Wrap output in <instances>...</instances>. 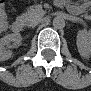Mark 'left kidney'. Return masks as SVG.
Here are the masks:
<instances>
[{
    "label": "left kidney",
    "instance_id": "left-kidney-1",
    "mask_svg": "<svg viewBox=\"0 0 91 91\" xmlns=\"http://www.w3.org/2000/svg\"><path fill=\"white\" fill-rule=\"evenodd\" d=\"M76 43L80 55L82 57H89L91 53L90 34L85 31H79Z\"/></svg>",
    "mask_w": 91,
    "mask_h": 91
}]
</instances>
